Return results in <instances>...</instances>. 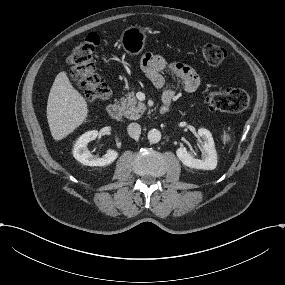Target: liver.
<instances>
[{
  "mask_svg": "<svg viewBox=\"0 0 285 285\" xmlns=\"http://www.w3.org/2000/svg\"><path fill=\"white\" fill-rule=\"evenodd\" d=\"M89 112L86 98L73 87L67 72L61 71L52 85L47 104V119L53 139L59 142L67 138L86 123Z\"/></svg>",
  "mask_w": 285,
  "mask_h": 285,
  "instance_id": "1",
  "label": "liver"
}]
</instances>
